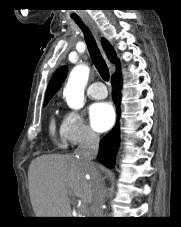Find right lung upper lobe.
Wrapping results in <instances>:
<instances>
[{"label": "right lung upper lobe", "instance_id": "cb5924a9", "mask_svg": "<svg viewBox=\"0 0 181 227\" xmlns=\"http://www.w3.org/2000/svg\"><path fill=\"white\" fill-rule=\"evenodd\" d=\"M102 45L103 48L109 58L110 61L115 63L117 66L119 65L116 54L112 46L107 42L104 38L102 39ZM67 75V67L62 66L59 68L52 76V78L49 81L45 102H48L51 97L59 90L61 87L63 81L65 80Z\"/></svg>", "mask_w": 181, "mask_h": 227}]
</instances>
